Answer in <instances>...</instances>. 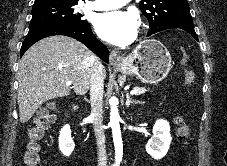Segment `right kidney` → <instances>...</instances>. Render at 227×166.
<instances>
[{
  "instance_id": "right-kidney-1",
  "label": "right kidney",
  "mask_w": 227,
  "mask_h": 166,
  "mask_svg": "<svg viewBox=\"0 0 227 166\" xmlns=\"http://www.w3.org/2000/svg\"><path fill=\"white\" fill-rule=\"evenodd\" d=\"M75 148V144L71 138V129L69 125H65L59 135V149L64 156H70Z\"/></svg>"
}]
</instances>
